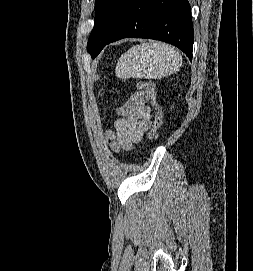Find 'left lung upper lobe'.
Segmentation results:
<instances>
[{
    "label": "left lung upper lobe",
    "instance_id": "obj_1",
    "mask_svg": "<svg viewBox=\"0 0 253 271\" xmlns=\"http://www.w3.org/2000/svg\"><path fill=\"white\" fill-rule=\"evenodd\" d=\"M131 0H95L94 27L90 34L87 51L95 58L127 12Z\"/></svg>",
    "mask_w": 253,
    "mask_h": 271
}]
</instances>
